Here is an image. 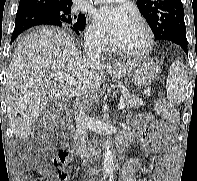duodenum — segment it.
<instances>
[{
  "instance_id": "1",
  "label": "duodenum",
  "mask_w": 197,
  "mask_h": 181,
  "mask_svg": "<svg viewBox=\"0 0 197 181\" xmlns=\"http://www.w3.org/2000/svg\"><path fill=\"white\" fill-rule=\"evenodd\" d=\"M67 118L69 119L70 118V115L68 114L67 115ZM129 139L128 137H126L125 135H119L116 140H115V150L117 152L121 151L125 146L126 144L128 143ZM75 152L79 155H83L82 151L80 149L78 150H75ZM93 153H95L96 155H101L102 153L99 151V150H94L92 151Z\"/></svg>"
}]
</instances>
